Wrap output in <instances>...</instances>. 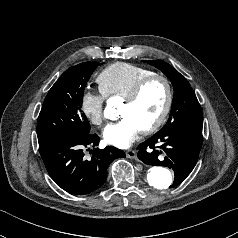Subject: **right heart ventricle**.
I'll use <instances>...</instances> for the list:
<instances>
[{
	"label": "right heart ventricle",
	"mask_w": 238,
	"mask_h": 238,
	"mask_svg": "<svg viewBox=\"0 0 238 238\" xmlns=\"http://www.w3.org/2000/svg\"><path fill=\"white\" fill-rule=\"evenodd\" d=\"M153 74L150 69L119 62L104 68L97 75L96 82L106 97L125 99L139 81Z\"/></svg>",
	"instance_id": "e07e8e85"
}]
</instances>
